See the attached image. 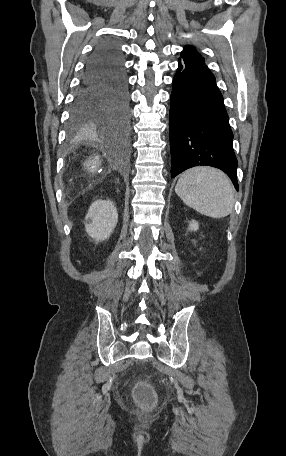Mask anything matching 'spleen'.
I'll use <instances>...</instances> for the list:
<instances>
[{"instance_id":"spleen-1","label":"spleen","mask_w":286,"mask_h":456,"mask_svg":"<svg viewBox=\"0 0 286 456\" xmlns=\"http://www.w3.org/2000/svg\"><path fill=\"white\" fill-rule=\"evenodd\" d=\"M175 192L185 205L211 218H223L234 209L233 185L218 169L194 167L185 171Z\"/></svg>"}]
</instances>
